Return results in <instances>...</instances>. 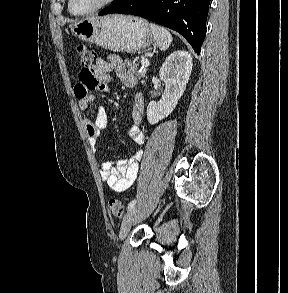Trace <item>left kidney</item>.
Wrapping results in <instances>:
<instances>
[{"instance_id": "1", "label": "left kidney", "mask_w": 288, "mask_h": 293, "mask_svg": "<svg viewBox=\"0 0 288 293\" xmlns=\"http://www.w3.org/2000/svg\"><path fill=\"white\" fill-rule=\"evenodd\" d=\"M192 71V57L187 51H174L162 64L159 76L165 83L164 93L158 102L147 106V119L152 125L167 117L183 95Z\"/></svg>"}]
</instances>
